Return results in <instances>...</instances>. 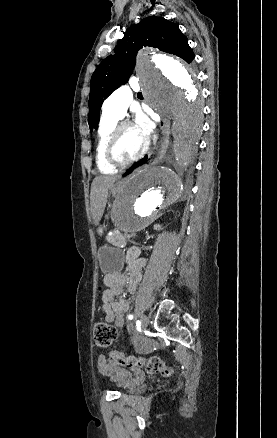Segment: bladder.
Returning a JSON list of instances; mask_svg holds the SVG:
<instances>
[{
	"label": "bladder",
	"mask_w": 277,
	"mask_h": 438,
	"mask_svg": "<svg viewBox=\"0 0 277 438\" xmlns=\"http://www.w3.org/2000/svg\"><path fill=\"white\" fill-rule=\"evenodd\" d=\"M140 383H141V380L129 381L126 385V389L124 390V392L122 394H130V393L136 391Z\"/></svg>",
	"instance_id": "obj_1"
}]
</instances>
